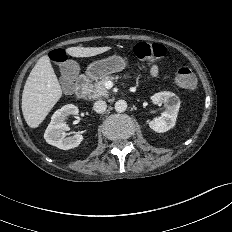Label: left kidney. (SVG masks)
I'll use <instances>...</instances> for the list:
<instances>
[{
    "mask_svg": "<svg viewBox=\"0 0 232 232\" xmlns=\"http://www.w3.org/2000/svg\"><path fill=\"white\" fill-rule=\"evenodd\" d=\"M156 104H164L166 110L160 117L149 122V127L157 133H163L175 126L177 114L180 108V99L174 93L163 91L151 96Z\"/></svg>",
    "mask_w": 232,
    "mask_h": 232,
    "instance_id": "obj_1",
    "label": "left kidney"
}]
</instances>
